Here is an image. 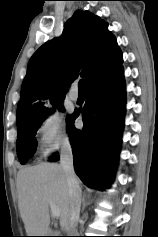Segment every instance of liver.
<instances>
[{
    "label": "liver",
    "mask_w": 158,
    "mask_h": 237,
    "mask_svg": "<svg viewBox=\"0 0 158 237\" xmlns=\"http://www.w3.org/2000/svg\"><path fill=\"white\" fill-rule=\"evenodd\" d=\"M18 207L28 236H46L49 228V202L60 210V226L69 230V194L66 175L59 164L40 163L17 174Z\"/></svg>",
    "instance_id": "liver-1"
}]
</instances>
